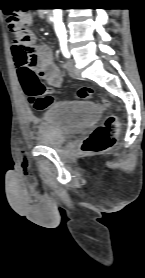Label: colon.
<instances>
[{"label":"colon","mask_w":145,"mask_h":278,"mask_svg":"<svg viewBox=\"0 0 145 278\" xmlns=\"http://www.w3.org/2000/svg\"><path fill=\"white\" fill-rule=\"evenodd\" d=\"M7 24L11 34L25 52H32L33 45L29 36L30 18L26 10L17 9L7 15ZM22 89L28 96L31 107L37 111H43L49 105L55 103V98L48 94V89L40 81L34 72L26 73L21 80ZM93 94L90 87H80L77 97L80 100H87ZM104 105H109L107 99L103 100ZM119 122L115 116H108L105 121L96 127L86 138L81 149L86 154H96L109 149L116 141Z\"/></svg>","instance_id":"obj_1"}]
</instances>
